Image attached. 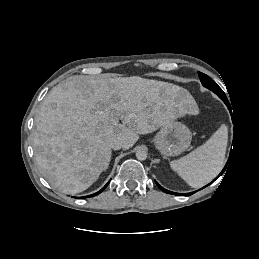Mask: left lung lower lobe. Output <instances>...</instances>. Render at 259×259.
Here are the masks:
<instances>
[{
    "label": "left lung lower lobe",
    "mask_w": 259,
    "mask_h": 259,
    "mask_svg": "<svg viewBox=\"0 0 259 259\" xmlns=\"http://www.w3.org/2000/svg\"><path fill=\"white\" fill-rule=\"evenodd\" d=\"M224 102H225V104L228 106V108H229V102H228V99H227V97H226V95H225V93L224 92H222V93H218L217 94ZM228 162H229V160H228ZM228 162H227V164H228ZM227 164H226V166L224 167V169L222 170V172L219 174V176H221L222 174H223V172L225 171V169H226V167H227ZM218 176V177H219ZM217 177V178H218ZM216 178V179H217ZM215 179V180H216ZM212 183V182H211ZM210 183V184H211ZM156 184H157V186L163 191V192H166V193H168V194H173V195H183V196H188V195H191V194H193L194 192H192V193H185V194H181V193H174V192H171V191H168V190H166V189H164V188H162L157 182H156ZM209 185V184H208ZM208 185H206V186H208ZM205 186V187H206Z\"/></svg>",
    "instance_id": "0a47b994"
}]
</instances>
